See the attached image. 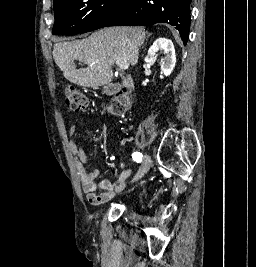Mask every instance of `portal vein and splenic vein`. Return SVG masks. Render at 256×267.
Instances as JSON below:
<instances>
[{"instance_id":"18ae733b","label":"portal vein and splenic vein","mask_w":256,"mask_h":267,"mask_svg":"<svg viewBox=\"0 0 256 267\" xmlns=\"http://www.w3.org/2000/svg\"><path fill=\"white\" fill-rule=\"evenodd\" d=\"M117 66H119L120 70H128L129 64H127L126 60L124 62H116Z\"/></svg>"}]
</instances>
